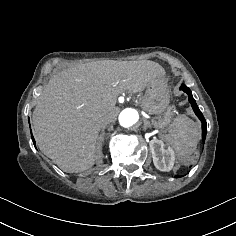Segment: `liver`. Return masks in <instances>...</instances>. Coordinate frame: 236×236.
I'll return each mask as SVG.
<instances>
[{"label": "liver", "mask_w": 236, "mask_h": 236, "mask_svg": "<svg viewBox=\"0 0 236 236\" xmlns=\"http://www.w3.org/2000/svg\"><path fill=\"white\" fill-rule=\"evenodd\" d=\"M165 79L164 68L150 60H105L78 64L54 75L37 98L32 115L39 149L61 170L84 171L103 158L96 142L114 122L117 97L141 92Z\"/></svg>", "instance_id": "6515ba94"}]
</instances>
